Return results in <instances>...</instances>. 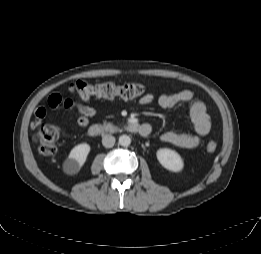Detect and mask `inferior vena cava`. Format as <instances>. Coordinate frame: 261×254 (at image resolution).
<instances>
[{"instance_id":"inferior-vena-cava-1","label":"inferior vena cava","mask_w":261,"mask_h":254,"mask_svg":"<svg viewBox=\"0 0 261 254\" xmlns=\"http://www.w3.org/2000/svg\"><path fill=\"white\" fill-rule=\"evenodd\" d=\"M102 144L106 148H111L115 144V137L112 135H104L102 137Z\"/></svg>"}]
</instances>
